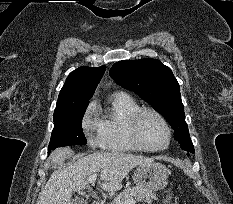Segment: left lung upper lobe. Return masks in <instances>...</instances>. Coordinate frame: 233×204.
Masks as SVG:
<instances>
[{
  "label": "left lung upper lobe",
  "instance_id": "5c2ea615",
  "mask_svg": "<svg viewBox=\"0 0 233 204\" xmlns=\"http://www.w3.org/2000/svg\"><path fill=\"white\" fill-rule=\"evenodd\" d=\"M109 73L119 85L135 92L160 112L175 130L174 139L181 148L194 153L180 87L169 67L152 58L123 60L116 62Z\"/></svg>",
  "mask_w": 233,
  "mask_h": 204
}]
</instances>
